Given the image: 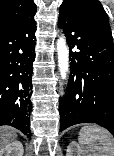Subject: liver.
Masks as SVG:
<instances>
[{
	"mask_svg": "<svg viewBox=\"0 0 114 156\" xmlns=\"http://www.w3.org/2000/svg\"><path fill=\"white\" fill-rule=\"evenodd\" d=\"M17 136V131L10 126H0V150L13 142Z\"/></svg>",
	"mask_w": 114,
	"mask_h": 156,
	"instance_id": "obj_1",
	"label": "liver"
}]
</instances>
